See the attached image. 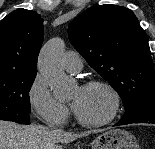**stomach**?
I'll use <instances>...</instances> for the list:
<instances>
[{
	"label": "stomach",
	"mask_w": 155,
	"mask_h": 149,
	"mask_svg": "<svg viewBox=\"0 0 155 149\" xmlns=\"http://www.w3.org/2000/svg\"><path fill=\"white\" fill-rule=\"evenodd\" d=\"M92 149H139L136 137L122 129H109L96 137Z\"/></svg>",
	"instance_id": "obj_1"
}]
</instances>
